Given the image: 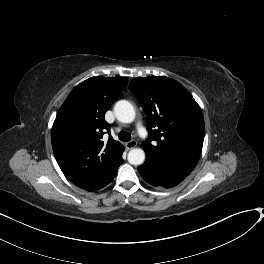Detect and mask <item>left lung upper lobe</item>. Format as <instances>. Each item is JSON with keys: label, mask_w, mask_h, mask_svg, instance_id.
Segmentation results:
<instances>
[{"label": "left lung upper lobe", "mask_w": 264, "mask_h": 264, "mask_svg": "<svg viewBox=\"0 0 264 264\" xmlns=\"http://www.w3.org/2000/svg\"><path fill=\"white\" fill-rule=\"evenodd\" d=\"M129 89L147 117L145 161L189 175L199 160L205 132L197 102L179 82L164 76L135 78Z\"/></svg>", "instance_id": "1"}]
</instances>
